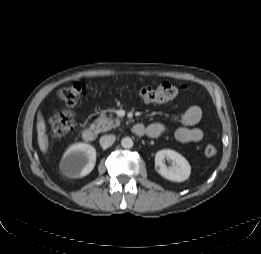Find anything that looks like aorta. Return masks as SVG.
<instances>
[{"label":"aorta","mask_w":261,"mask_h":254,"mask_svg":"<svg viewBox=\"0 0 261 254\" xmlns=\"http://www.w3.org/2000/svg\"><path fill=\"white\" fill-rule=\"evenodd\" d=\"M121 145L123 148H132L133 147V140L130 137H124L121 140Z\"/></svg>","instance_id":"762f6f07"}]
</instances>
